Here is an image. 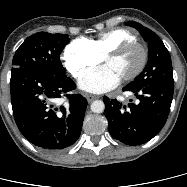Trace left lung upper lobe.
<instances>
[{
	"mask_svg": "<svg viewBox=\"0 0 187 187\" xmlns=\"http://www.w3.org/2000/svg\"><path fill=\"white\" fill-rule=\"evenodd\" d=\"M126 25L137 29L149 44L148 62L144 70L126 88H141L148 85H173V71L170 54L162 40L150 29L137 22Z\"/></svg>",
	"mask_w": 187,
	"mask_h": 187,
	"instance_id": "left-lung-upper-lobe-1",
	"label": "left lung upper lobe"
}]
</instances>
